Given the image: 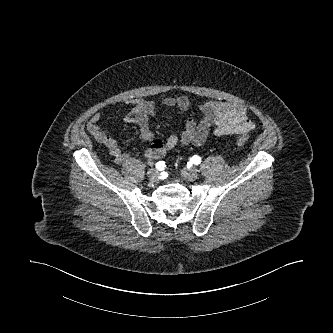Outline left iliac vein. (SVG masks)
<instances>
[{
  "mask_svg": "<svg viewBox=\"0 0 333 333\" xmlns=\"http://www.w3.org/2000/svg\"><path fill=\"white\" fill-rule=\"evenodd\" d=\"M182 177L188 181H194L198 178V170L194 167L190 169H184L182 171Z\"/></svg>",
  "mask_w": 333,
  "mask_h": 333,
  "instance_id": "4c4485c4",
  "label": "left iliac vein"
}]
</instances>
